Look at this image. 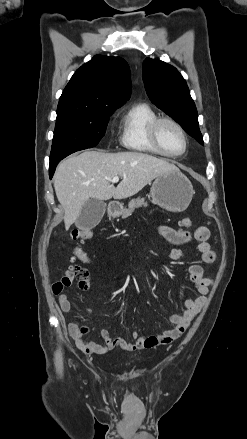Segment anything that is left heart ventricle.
Masks as SVG:
<instances>
[{
    "mask_svg": "<svg viewBox=\"0 0 247 439\" xmlns=\"http://www.w3.org/2000/svg\"><path fill=\"white\" fill-rule=\"evenodd\" d=\"M159 141L168 153L176 154L183 150L184 141L179 131L169 123H163L159 128Z\"/></svg>",
    "mask_w": 247,
    "mask_h": 439,
    "instance_id": "1",
    "label": "left heart ventricle"
}]
</instances>
